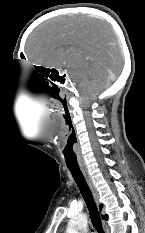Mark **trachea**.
<instances>
[{
	"instance_id": "1",
	"label": "trachea",
	"mask_w": 145,
	"mask_h": 233,
	"mask_svg": "<svg viewBox=\"0 0 145 233\" xmlns=\"http://www.w3.org/2000/svg\"><path fill=\"white\" fill-rule=\"evenodd\" d=\"M68 168L86 202L93 226L96 228L98 233H104V230L101 224L100 215H99L97 206L95 204V201L93 199V195L91 193V190L80 168H71V167H68Z\"/></svg>"
}]
</instances>
